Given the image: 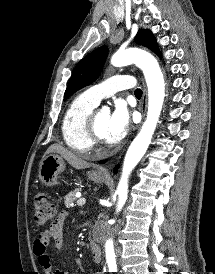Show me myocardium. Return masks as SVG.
Listing matches in <instances>:
<instances>
[{"instance_id": "obj_1", "label": "myocardium", "mask_w": 215, "mask_h": 274, "mask_svg": "<svg viewBox=\"0 0 215 274\" xmlns=\"http://www.w3.org/2000/svg\"><path fill=\"white\" fill-rule=\"evenodd\" d=\"M98 111L92 110L87 116L85 128L90 141L94 144H104L106 139L100 136L96 129V114Z\"/></svg>"}]
</instances>
